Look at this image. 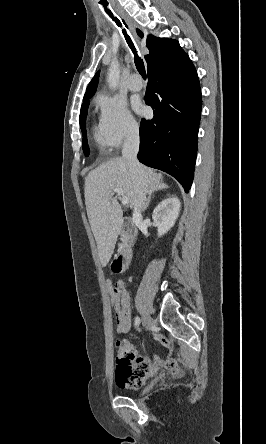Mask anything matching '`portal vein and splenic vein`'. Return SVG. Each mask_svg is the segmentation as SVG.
Masks as SVG:
<instances>
[{
    "instance_id": "1",
    "label": "portal vein and splenic vein",
    "mask_w": 266,
    "mask_h": 444,
    "mask_svg": "<svg viewBox=\"0 0 266 444\" xmlns=\"http://www.w3.org/2000/svg\"><path fill=\"white\" fill-rule=\"evenodd\" d=\"M116 193L118 196H120L121 199V203L123 205H128L129 204V198L124 194L123 190L120 188H114L112 190V194Z\"/></svg>"
}]
</instances>
